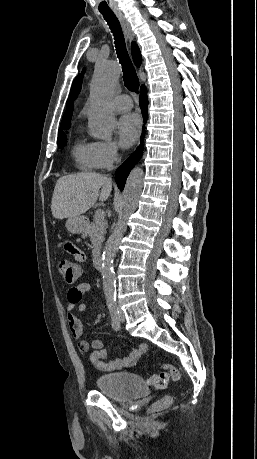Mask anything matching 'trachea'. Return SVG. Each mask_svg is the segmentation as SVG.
<instances>
[{
	"mask_svg": "<svg viewBox=\"0 0 257 459\" xmlns=\"http://www.w3.org/2000/svg\"><path fill=\"white\" fill-rule=\"evenodd\" d=\"M101 14L108 23L114 36L116 52L120 64L122 65L124 84L128 90L138 92L139 79L128 55L119 21L112 11H101Z\"/></svg>",
	"mask_w": 257,
	"mask_h": 459,
	"instance_id": "1",
	"label": "trachea"
}]
</instances>
